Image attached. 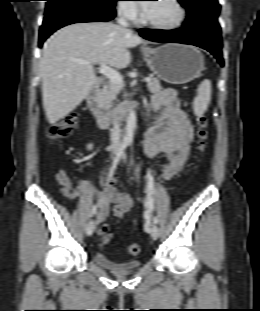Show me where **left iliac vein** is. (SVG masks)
<instances>
[{
	"mask_svg": "<svg viewBox=\"0 0 260 311\" xmlns=\"http://www.w3.org/2000/svg\"><path fill=\"white\" fill-rule=\"evenodd\" d=\"M150 234L151 237L156 240L159 237L160 230L159 227L156 224H153L150 228Z\"/></svg>",
	"mask_w": 260,
	"mask_h": 311,
	"instance_id": "left-iliac-vein-1",
	"label": "left iliac vein"
}]
</instances>
